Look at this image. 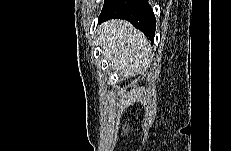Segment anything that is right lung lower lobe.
<instances>
[{"instance_id":"98d812e1","label":"right lung lower lobe","mask_w":231,"mask_h":151,"mask_svg":"<svg viewBox=\"0 0 231 151\" xmlns=\"http://www.w3.org/2000/svg\"><path fill=\"white\" fill-rule=\"evenodd\" d=\"M125 19L154 41L156 19L148 0H105L98 22Z\"/></svg>"}]
</instances>
